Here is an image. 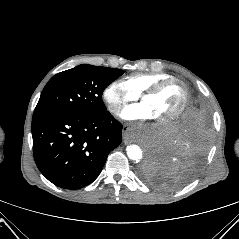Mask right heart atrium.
<instances>
[{"label": "right heart atrium", "instance_id": "obj_1", "mask_svg": "<svg viewBox=\"0 0 239 239\" xmlns=\"http://www.w3.org/2000/svg\"><path fill=\"white\" fill-rule=\"evenodd\" d=\"M102 97L110 113L118 115L128 102L137 100L139 95L133 92L123 81L114 80L104 88Z\"/></svg>", "mask_w": 239, "mask_h": 239}]
</instances>
